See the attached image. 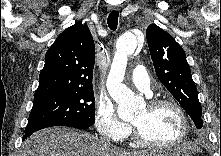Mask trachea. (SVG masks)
Returning a JSON list of instances; mask_svg holds the SVG:
<instances>
[{
  "instance_id": "1",
  "label": "trachea",
  "mask_w": 221,
  "mask_h": 156,
  "mask_svg": "<svg viewBox=\"0 0 221 156\" xmlns=\"http://www.w3.org/2000/svg\"><path fill=\"white\" fill-rule=\"evenodd\" d=\"M118 17H119V12L118 11H113L109 14L107 23L108 26L111 30H116L118 26Z\"/></svg>"
}]
</instances>
